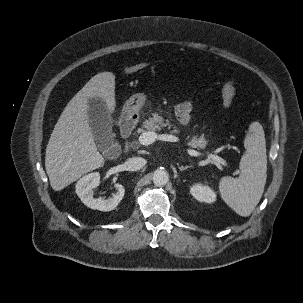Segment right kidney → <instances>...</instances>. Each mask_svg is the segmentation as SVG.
<instances>
[{"label":"right kidney","instance_id":"right-kidney-1","mask_svg":"<svg viewBox=\"0 0 303 303\" xmlns=\"http://www.w3.org/2000/svg\"><path fill=\"white\" fill-rule=\"evenodd\" d=\"M100 183V175L97 172L87 174L79 179L76 184V193L81 201L89 208L100 211H111L116 208L125 194L123 185L116 184L117 192L107 199L94 198V189Z\"/></svg>","mask_w":303,"mask_h":303}]
</instances>
